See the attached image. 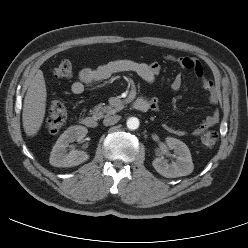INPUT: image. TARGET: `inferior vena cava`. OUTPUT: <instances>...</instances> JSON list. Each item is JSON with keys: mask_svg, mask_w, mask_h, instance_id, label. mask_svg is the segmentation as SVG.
Listing matches in <instances>:
<instances>
[{"mask_svg": "<svg viewBox=\"0 0 248 248\" xmlns=\"http://www.w3.org/2000/svg\"><path fill=\"white\" fill-rule=\"evenodd\" d=\"M120 119H121V116H119V115L107 116V117H105V119L103 120V124H104L105 126L114 125V124L117 123Z\"/></svg>", "mask_w": 248, "mask_h": 248, "instance_id": "602c4592", "label": "inferior vena cava"}]
</instances>
